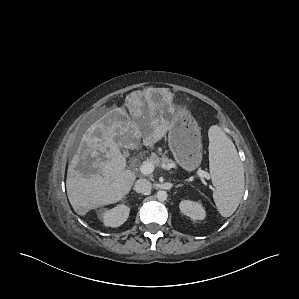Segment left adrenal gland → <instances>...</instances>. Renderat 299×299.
<instances>
[{
  "mask_svg": "<svg viewBox=\"0 0 299 299\" xmlns=\"http://www.w3.org/2000/svg\"><path fill=\"white\" fill-rule=\"evenodd\" d=\"M181 186H183V184H178V185L176 186V188L181 187Z\"/></svg>",
  "mask_w": 299,
  "mask_h": 299,
  "instance_id": "left-adrenal-gland-1",
  "label": "left adrenal gland"
}]
</instances>
